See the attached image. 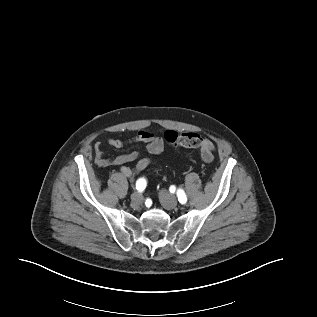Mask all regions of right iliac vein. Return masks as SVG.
I'll return each instance as SVG.
<instances>
[{
	"mask_svg": "<svg viewBox=\"0 0 317 317\" xmlns=\"http://www.w3.org/2000/svg\"><path fill=\"white\" fill-rule=\"evenodd\" d=\"M131 201L135 204H141L143 201V198L139 192H135L131 195Z\"/></svg>",
	"mask_w": 317,
	"mask_h": 317,
	"instance_id": "obj_1",
	"label": "right iliac vein"
}]
</instances>
